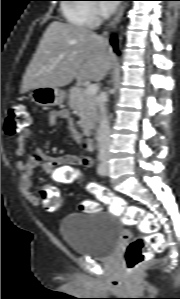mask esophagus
Masks as SVG:
<instances>
[{
  "label": "esophagus",
  "mask_w": 180,
  "mask_h": 299,
  "mask_svg": "<svg viewBox=\"0 0 180 299\" xmlns=\"http://www.w3.org/2000/svg\"><path fill=\"white\" fill-rule=\"evenodd\" d=\"M124 9H125V5L123 4L120 6L116 16L113 18V20L110 23V26H109L110 32L115 30L117 25L120 23Z\"/></svg>",
  "instance_id": "34e87169"
}]
</instances>
